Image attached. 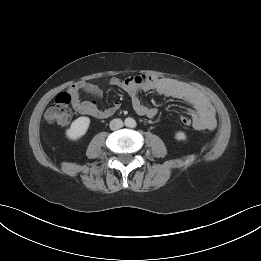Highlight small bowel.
<instances>
[{
	"label": "small bowel",
	"instance_id": "c3829d8e",
	"mask_svg": "<svg viewBox=\"0 0 261 261\" xmlns=\"http://www.w3.org/2000/svg\"><path fill=\"white\" fill-rule=\"evenodd\" d=\"M108 84L124 90L131 99L133 110L140 116L154 118L157 115L156 108L143 104L138 97L139 91H155L160 95L181 99L189 103L192 106L189 115L194 129L213 130L216 127V113L208 98L199 90L178 80L139 75L124 79L113 77ZM68 92L74 110L82 115L98 119L108 118L120 107L118 101H114L110 107L99 108L95 101L82 100V92L96 98L102 96L103 89L94 83L78 82L72 85Z\"/></svg>",
	"mask_w": 261,
	"mask_h": 261
}]
</instances>
